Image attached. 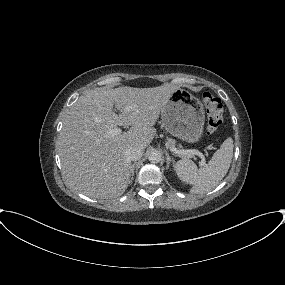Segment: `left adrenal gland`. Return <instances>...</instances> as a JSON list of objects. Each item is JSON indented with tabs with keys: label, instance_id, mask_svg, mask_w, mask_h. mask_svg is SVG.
<instances>
[{
	"label": "left adrenal gland",
	"instance_id": "1",
	"mask_svg": "<svg viewBox=\"0 0 285 285\" xmlns=\"http://www.w3.org/2000/svg\"><path fill=\"white\" fill-rule=\"evenodd\" d=\"M174 160H173V158H171L170 157V155H169V153L168 152H166V163H167V169H169V165H170V163L171 162H173Z\"/></svg>",
	"mask_w": 285,
	"mask_h": 285
}]
</instances>
